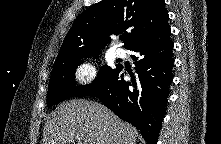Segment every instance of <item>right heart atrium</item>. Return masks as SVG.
<instances>
[{
  "mask_svg": "<svg viewBox=\"0 0 221 144\" xmlns=\"http://www.w3.org/2000/svg\"><path fill=\"white\" fill-rule=\"evenodd\" d=\"M74 77L79 85H90L97 77V67L90 61H84L76 67Z\"/></svg>",
  "mask_w": 221,
  "mask_h": 144,
  "instance_id": "d8ad5b80",
  "label": "right heart atrium"
}]
</instances>
